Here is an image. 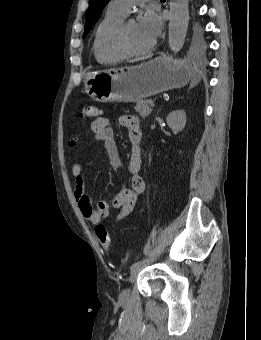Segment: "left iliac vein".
<instances>
[{"label":"left iliac vein","instance_id":"4c4485c4","mask_svg":"<svg viewBox=\"0 0 261 340\" xmlns=\"http://www.w3.org/2000/svg\"><path fill=\"white\" fill-rule=\"evenodd\" d=\"M142 266L134 268L131 271L130 277H129V283L132 284L136 281L137 276L141 270ZM130 295V288H125L124 290L121 291L120 295H119V301L120 302H125Z\"/></svg>","mask_w":261,"mask_h":340}]
</instances>
